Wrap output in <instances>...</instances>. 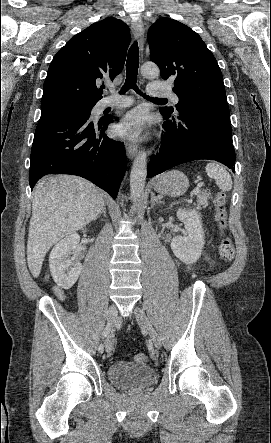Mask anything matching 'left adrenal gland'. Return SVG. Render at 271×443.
Returning <instances> with one entry per match:
<instances>
[{
  "label": "left adrenal gland",
  "instance_id": "1",
  "mask_svg": "<svg viewBox=\"0 0 271 443\" xmlns=\"http://www.w3.org/2000/svg\"><path fill=\"white\" fill-rule=\"evenodd\" d=\"M155 204H163V202H161V198L158 200L157 196L151 192V208H154Z\"/></svg>",
  "mask_w": 271,
  "mask_h": 443
}]
</instances>
